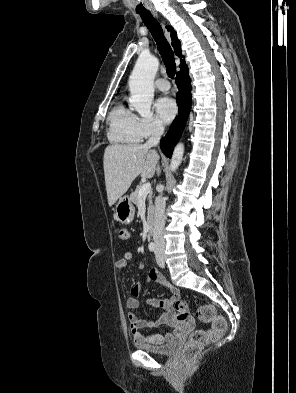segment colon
Here are the masks:
<instances>
[{"instance_id": "1", "label": "colon", "mask_w": 296, "mask_h": 393, "mask_svg": "<svg viewBox=\"0 0 296 393\" xmlns=\"http://www.w3.org/2000/svg\"><path fill=\"white\" fill-rule=\"evenodd\" d=\"M115 235L120 240H127L128 231L124 227H115ZM174 318L179 321H187L190 317L187 305L183 300L178 299L173 305ZM197 317L202 322L211 323L209 330H196L182 350V357L185 361H191L198 356L200 351L213 339L219 338L226 329V320L218 314L213 304H205L198 308Z\"/></svg>"}]
</instances>
